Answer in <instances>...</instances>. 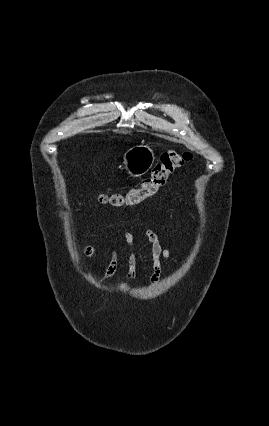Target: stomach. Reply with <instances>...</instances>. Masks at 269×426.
Masks as SVG:
<instances>
[{"label":"stomach","mask_w":269,"mask_h":426,"mask_svg":"<svg viewBox=\"0 0 269 426\" xmlns=\"http://www.w3.org/2000/svg\"><path fill=\"white\" fill-rule=\"evenodd\" d=\"M155 154L148 145H136L129 148L123 155V168L131 177L145 175L153 166Z\"/></svg>","instance_id":"obj_1"}]
</instances>
